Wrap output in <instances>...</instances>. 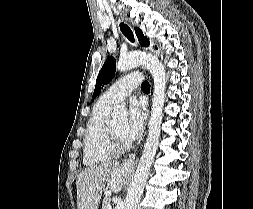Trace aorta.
<instances>
[{
  "label": "aorta",
  "mask_w": 253,
  "mask_h": 209,
  "mask_svg": "<svg viewBox=\"0 0 253 209\" xmlns=\"http://www.w3.org/2000/svg\"><path fill=\"white\" fill-rule=\"evenodd\" d=\"M139 65L145 66L153 76L154 92L149 121V130L146 143L140 158L136 173L128 189L123 209H137L141 199L146 181L148 179L151 165L154 161L158 148L161 124L163 119V106L165 101L166 72L157 57L144 52H132L119 59L117 70L120 72L131 70ZM126 115L124 106H118L113 113V118H122Z\"/></svg>",
  "instance_id": "1"
}]
</instances>
